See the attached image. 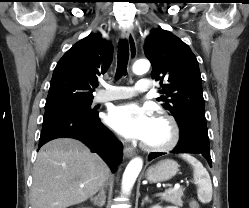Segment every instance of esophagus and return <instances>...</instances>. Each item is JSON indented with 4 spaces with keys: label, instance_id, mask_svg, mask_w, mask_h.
Returning <instances> with one entry per match:
<instances>
[{
    "label": "esophagus",
    "instance_id": "34e87169",
    "mask_svg": "<svg viewBox=\"0 0 249 208\" xmlns=\"http://www.w3.org/2000/svg\"><path fill=\"white\" fill-rule=\"evenodd\" d=\"M122 37L128 41L131 58L134 59L137 54V44L134 34L131 30H123ZM136 154L135 150L129 146H124V155L126 158H131Z\"/></svg>",
    "mask_w": 249,
    "mask_h": 208
}]
</instances>
